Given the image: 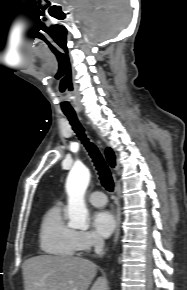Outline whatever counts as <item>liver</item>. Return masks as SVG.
I'll use <instances>...</instances> for the list:
<instances>
[{
	"instance_id": "liver-1",
	"label": "liver",
	"mask_w": 187,
	"mask_h": 290,
	"mask_svg": "<svg viewBox=\"0 0 187 290\" xmlns=\"http://www.w3.org/2000/svg\"><path fill=\"white\" fill-rule=\"evenodd\" d=\"M22 270L25 290H88L97 266L79 257L40 255L27 259ZM90 290H108L106 278H97Z\"/></svg>"
}]
</instances>
